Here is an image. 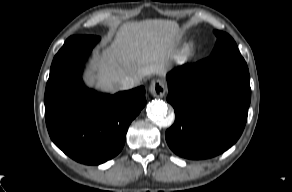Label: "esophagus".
Instances as JSON below:
<instances>
[{
	"label": "esophagus",
	"instance_id": "obj_1",
	"mask_svg": "<svg viewBox=\"0 0 292 192\" xmlns=\"http://www.w3.org/2000/svg\"><path fill=\"white\" fill-rule=\"evenodd\" d=\"M149 91L154 97H163L167 91L165 83L160 80H153L150 83Z\"/></svg>",
	"mask_w": 292,
	"mask_h": 192
}]
</instances>
